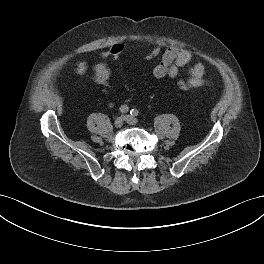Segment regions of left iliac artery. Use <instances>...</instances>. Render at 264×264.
<instances>
[{"label": "left iliac artery", "instance_id": "left-iliac-artery-1", "mask_svg": "<svg viewBox=\"0 0 264 264\" xmlns=\"http://www.w3.org/2000/svg\"><path fill=\"white\" fill-rule=\"evenodd\" d=\"M130 114H131L132 116H137V115L139 114V111H138L137 109H132V110L130 111Z\"/></svg>", "mask_w": 264, "mask_h": 264}]
</instances>
